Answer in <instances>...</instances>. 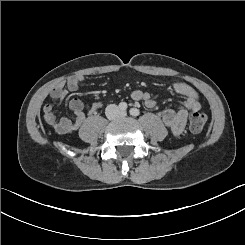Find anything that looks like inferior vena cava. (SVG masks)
Returning <instances> with one entry per match:
<instances>
[{
    "label": "inferior vena cava",
    "instance_id": "inferior-vena-cava-1",
    "mask_svg": "<svg viewBox=\"0 0 245 245\" xmlns=\"http://www.w3.org/2000/svg\"><path fill=\"white\" fill-rule=\"evenodd\" d=\"M106 116L109 119H115L118 117V107L114 104L108 105L105 110Z\"/></svg>",
    "mask_w": 245,
    "mask_h": 245
}]
</instances>
